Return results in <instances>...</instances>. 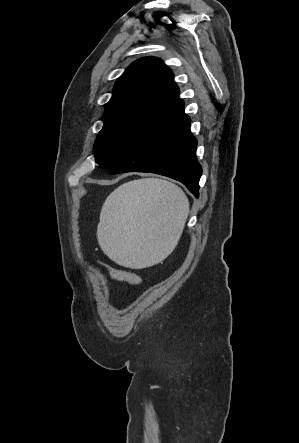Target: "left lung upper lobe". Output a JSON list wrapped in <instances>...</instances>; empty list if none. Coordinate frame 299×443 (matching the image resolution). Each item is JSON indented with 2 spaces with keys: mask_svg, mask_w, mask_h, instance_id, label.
<instances>
[{
  "mask_svg": "<svg viewBox=\"0 0 299 443\" xmlns=\"http://www.w3.org/2000/svg\"><path fill=\"white\" fill-rule=\"evenodd\" d=\"M173 73L160 59L135 61L117 79L94 144L95 161L111 168L177 101Z\"/></svg>",
  "mask_w": 299,
  "mask_h": 443,
  "instance_id": "obj_1",
  "label": "left lung upper lobe"
}]
</instances>
